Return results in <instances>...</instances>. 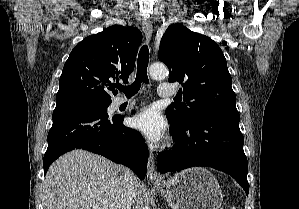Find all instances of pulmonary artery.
I'll list each match as a JSON object with an SVG mask.
<instances>
[{
	"mask_svg": "<svg viewBox=\"0 0 299 209\" xmlns=\"http://www.w3.org/2000/svg\"><path fill=\"white\" fill-rule=\"evenodd\" d=\"M175 94V88L168 83H160L158 87V95L161 97H172ZM127 102L125 99L120 100V104ZM128 102H135V100H130Z\"/></svg>",
	"mask_w": 299,
	"mask_h": 209,
	"instance_id": "e3ab8cb5",
	"label": "pulmonary artery"
}]
</instances>
